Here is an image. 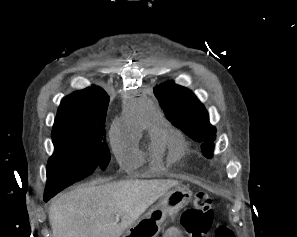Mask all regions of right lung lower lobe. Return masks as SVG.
Listing matches in <instances>:
<instances>
[{
	"instance_id": "1",
	"label": "right lung lower lobe",
	"mask_w": 297,
	"mask_h": 237,
	"mask_svg": "<svg viewBox=\"0 0 297 237\" xmlns=\"http://www.w3.org/2000/svg\"><path fill=\"white\" fill-rule=\"evenodd\" d=\"M51 197H53V196H49V195L47 196V195H45L44 196V201L47 202Z\"/></svg>"
}]
</instances>
